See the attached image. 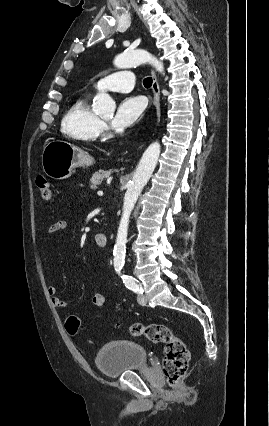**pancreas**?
<instances>
[{"label": "pancreas", "mask_w": 269, "mask_h": 426, "mask_svg": "<svg viewBox=\"0 0 269 426\" xmlns=\"http://www.w3.org/2000/svg\"><path fill=\"white\" fill-rule=\"evenodd\" d=\"M106 176H107L106 172H103V171L95 172L90 179V188L92 190L97 189V185H99Z\"/></svg>", "instance_id": "1"}]
</instances>
